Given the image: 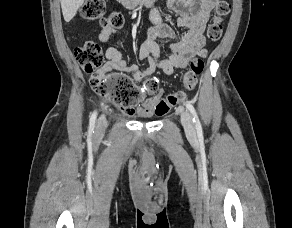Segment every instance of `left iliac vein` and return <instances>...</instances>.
Returning a JSON list of instances; mask_svg holds the SVG:
<instances>
[{
	"instance_id": "left-iliac-vein-1",
	"label": "left iliac vein",
	"mask_w": 292,
	"mask_h": 228,
	"mask_svg": "<svg viewBox=\"0 0 292 228\" xmlns=\"http://www.w3.org/2000/svg\"><path fill=\"white\" fill-rule=\"evenodd\" d=\"M180 116H181V123H182L185 131L189 135L194 136L195 135V127L193 124L191 114L187 110L181 109Z\"/></svg>"
}]
</instances>
